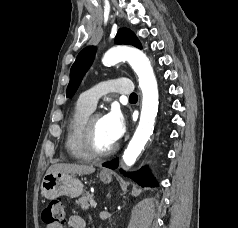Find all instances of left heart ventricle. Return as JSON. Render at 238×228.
<instances>
[{"label":"left heart ventricle","instance_id":"b2bd125f","mask_svg":"<svg viewBox=\"0 0 238 228\" xmlns=\"http://www.w3.org/2000/svg\"><path fill=\"white\" fill-rule=\"evenodd\" d=\"M94 141L99 150H107L115 144L107 132L103 117L96 118L94 122Z\"/></svg>","mask_w":238,"mask_h":228}]
</instances>
